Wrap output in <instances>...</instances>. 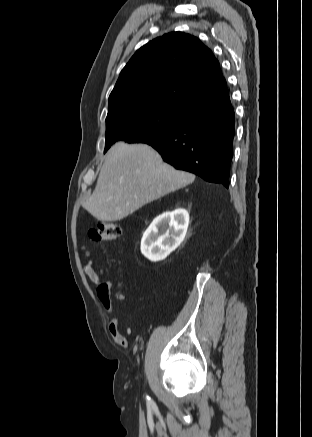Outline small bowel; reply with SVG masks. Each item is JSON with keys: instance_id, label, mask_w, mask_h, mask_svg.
Returning a JSON list of instances; mask_svg holds the SVG:
<instances>
[{"instance_id": "1", "label": "small bowel", "mask_w": 312, "mask_h": 437, "mask_svg": "<svg viewBox=\"0 0 312 437\" xmlns=\"http://www.w3.org/2000/svg\"><path fill=\"white\" fill-rule=\"evenodd\" d=\"M81 250L84 251L85 255L88 258L87 262L84 265V272L89 280L97 286V295L103 305V307L112 315L110 324H109V332L111 334L112 339L120 346L127 347L128 340L125 336L120 332L119 329V319L116 313L112 298H111V285L109 282H104L101 280L100 275L94 269V258L92 257L91 252L88 250V246L86 242H83L81 245ZM119 298H122L121 296Z\"/></svg>"}]
</instances>
